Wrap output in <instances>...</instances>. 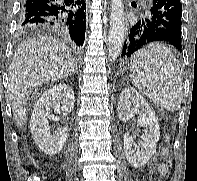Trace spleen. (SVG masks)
Returning <instances> with one entry per match:
<instances>
[{
  "label": "spleen",
  "instance_id": "spleen-1",
  "mask_svg": "<svg viewBox=\"0 0 197 181\" xmlns=\"http://www.w3.org/2000/svg\"><path fill=\"white\" fill-rule=\"evenodd\" d=\"M131 79L138 90L163 109L180 108L183 91L178 62L171 49L153 42L131 58Z\"/></svg>",
  "mask_w": 197,
  "mask_h": 181
}]
</instances>
